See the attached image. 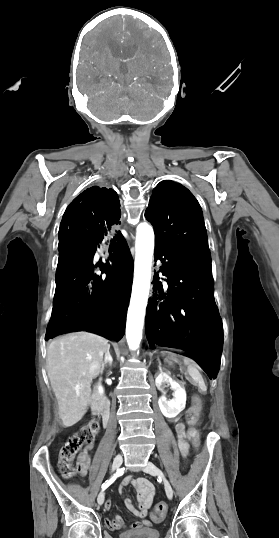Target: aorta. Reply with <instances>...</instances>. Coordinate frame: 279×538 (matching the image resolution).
Segmentation results:
<instances>
[{"instance_id":"aorta-1","label":"aorta","mask_w":279,"mask_h":538,"mask_svg":"<svg viewBox=\"0 0 279 538\" xmlns=\"http://www.w3.org/2000/svg\"><path fill=\"white\" fill-rule=\"evenodd\" d=\"M135 248L134 280L126 322V339L130 350L138 349L142 339L151 284L154 231L149 224L140 223L137 226Z\"/></svg>"}]
</instances>
